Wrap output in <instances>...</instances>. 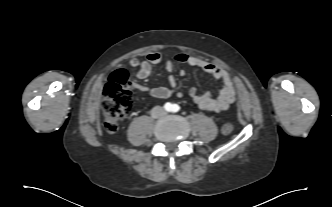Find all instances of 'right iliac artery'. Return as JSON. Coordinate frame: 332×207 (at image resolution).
Segmentation results:
<instances>
[{"label":"right iliac artery","mask_w":332,"mask_h":207,"mask_svg":"<svg viewBox=\"0 0 332 207\" xmlns=\"http://www.w3.org/2000/svg\"><path fill=\"white\" fill-rule=\"evenodd\" d=\"M171 107H172V105H171L170 103H166V104L164 105V108H165V110H167V111H170V110H171Z\"/></svg>","instance_id":"1"}]
</instances>
